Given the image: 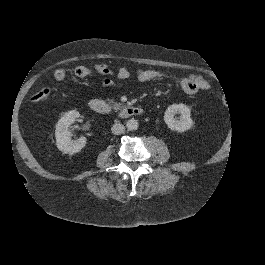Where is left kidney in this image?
Masks as SVG:
<instances>
[{
  "label": "left kidney",
  "instance_id": "obj_1",
  "mask_svg": "<svg viewBox=\"0 0 265 265\" xmlns=\"http://www.w3.org/2000/svg\"><path fill=\"white\" fill-rule=\"evenodd\" d=\"M175 114H180L179 120L174 118ZM190 114L191 111L186 105L173 104L166 109L164 121L171 130L184 132L189 130L193 125Z\"/></svg>",
  "mask_w": 265,
  "mask_h": 265
}]
</instances>
